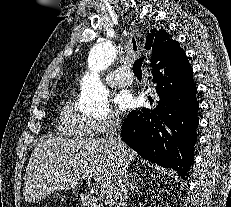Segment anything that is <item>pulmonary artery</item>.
Segmentation results:
<instances>
[{
    "label": "pulmonary artery",
    "instance_id": "pulmonary-artery-1",
    "mask_svg": "<svg viewBox=\"0 0 231 207\" xmlns=\"http://www.w3.org/2000/svg\"><path fill=\"white\" fill-rule=\"evenodd\" d=\"M106 81L111 86H126L132 82V75L128 67L123 66L109 73L106 76Z\"/></svg>",
    "mask_w": 231,
    "mask_h": 207
}]
</instances>
